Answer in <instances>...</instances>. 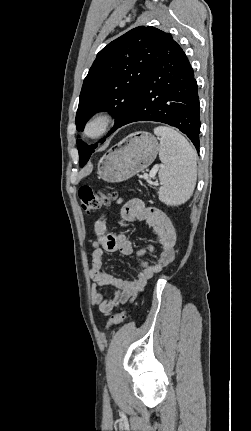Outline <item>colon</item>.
I'll return each instance as SVG.
<instances>
[{"mask_svg": "<svg viewBox=\"0 0 251 431\" xmlns=\"http://www.w3.org/2000/svg\"><path fill=\"white\" fill-rule=\"evenodd\" d=\"M79 199L83 211L86 214H91L103 206H106L115 197L113 192H98L92 189L90 186H81L78 191ZM127 316V311L125 309L114 314L107 323V329H111L120 323Z\"/></svg>", "mask_w": 251, "mask_h": 431, "instance_id": "obj_1", "label": "colon"}]
</instances>
